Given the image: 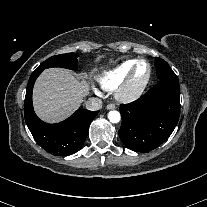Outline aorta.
Returning a JSON list of instances; mask_svg holds the SVG:
<instances>
[{"label": "aorta", "mask_w": 207, "mask_h": 207, "mask_svg": "<svg viewBox=\"0 0 207 207\" xmlns=\"http://www.w3.org/2000/svg\"><path fill=\"white\" fill-rule=\"evenodd\" d=\"M108 119L111 123H114V124L118 123L121 119L120 113L118 111H115V110L110 111L108 113Z\"/></svg>", "instance_id": "aorta-1"}]
</instances>
